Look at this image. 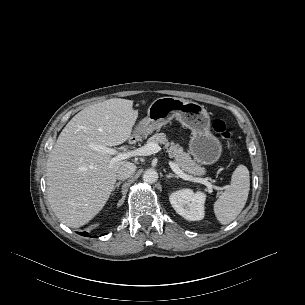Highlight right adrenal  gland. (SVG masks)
<instances>
[{
  "instance_id": "2a0ac1e0",
  "label": "right adrenal gland",
  "mask_w": 305,
  "mask_h": 305,
  "mask_svg": "<svg viewBox=\"0 0 305 305\" xmlns=\"http://www.w3.org/2000/svg\"><path fill=\"white\" fill-rule=\"evenodd\" d=\"M122 184V181H119V182H117L115 185H114V187H113V193H112V195L114 194V191L117 189V191L119 190V187H120V185Z\"/></svg>"
}]
</instances>
